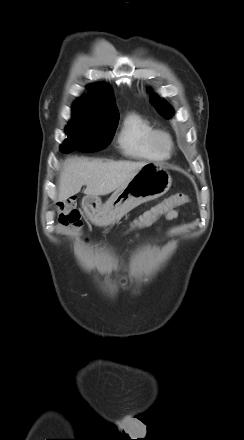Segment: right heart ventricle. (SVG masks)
Here are the masks:
<instances>
[{
	"label": "right heart ventricle",
	"instance_id": "e07e8e85",
	"mask_svg": "<svg viewBox=\"0 0 244 440\" xmlns=\"http://www.w3.org/2000/svg\"><path fill=\"white\" fill-rule=\"evenodd\" d=\"M154 129L140 114L128 113L121 124L117 135V144L121 152L129 157L160 160L164 155L155 151L149 142Z\"/></svg>",
	"mask_w": 244,
	"mask_h": 440
}]
</instances>
